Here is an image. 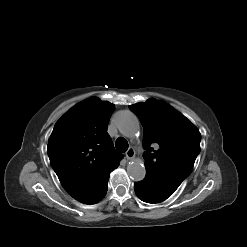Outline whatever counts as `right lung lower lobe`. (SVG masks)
<instances>
[{"mask_svg":"<svg viewBox=\"0 0 247 247\" xmlns=\"http://www.w3.org/2000/svg\"><path fill=\"white\" fill-rule=\"evenodd\" d=\"M109 175L100 182L87 196L79 200L85 204H94L99 202L105 195L108 189Z\"/></svg>","mask_w":247,"mask_h":247,"instance_id":"obj_1","label":"right lung lower lobe"}]
</instances>
